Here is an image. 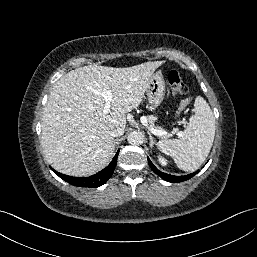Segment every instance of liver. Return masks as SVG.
Masks as SVG:
<instances>
[{"instance_id":"liver-1","label":"liver","mask_w":257,"mask_h":257,"mask_svg":"<svg viewBox=\"0 0 257 257\" xmlns=\"http://www.w3.org/2000/svg\"><path fill=\"white\" fill-rule=\"evenodd\" d=\"M163 61L126 68L89 65L76 68L53 86L43 111L41 144L48 163L78 177L93 175L115 150L110 132L125 129L126 113L137 108L150 77ZM111 90V111L98 92Z\"/></svg>"}]
</instances>
